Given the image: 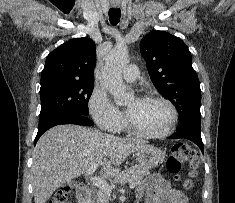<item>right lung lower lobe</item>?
Wrapping results in <instances>:
<instances>
[{"label": "right lung lower lobe", "mask_w": 235, "mask_h": 203, "mask_svg": "<svg viewBox=\"0 0 235 203\" xmlns=\"http://www.w3.org/2000/svg\"><path fill=\"white\" fill-rule=\"evenodd\" d=\"M60 124H76L82 126L92 125L93 122L88 119L86 116L71 113V112H61L56 113L50 116H47L43 119H39V128L38 133L34 141V145L37 143L40 136L50 129L51 127L60 125Z\"/></svg>", "instance_id": "98d812e1"}]
</instances>
